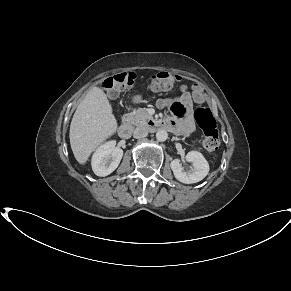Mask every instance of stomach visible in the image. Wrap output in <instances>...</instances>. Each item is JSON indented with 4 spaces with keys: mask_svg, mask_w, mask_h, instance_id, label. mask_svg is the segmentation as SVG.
I'll use <instances>...</instances> for the list:
<instances>
[{
    "mask_svg": "<svg viewBox=\"0 0 291 291\" xmlns=\"http://www.w3.org/2000/svg\"><path fill=\"white\" fill-rule=\"evenodd\" d=\"M141 99H142V97H141L140 95H136V96L133 97V101H134L135 103L140 102Z\"/></svg>",
    "mask_w": 291,
    "mask_h": 291,
    "instance_id": "1",
    "label": "stomach"
}]
</instances>
